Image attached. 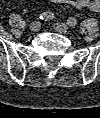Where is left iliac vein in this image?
Instances as JSON below:
<instances>
[{"mask_svg":"<svg viewBox=\"0 0 100 118\" xmlns=\"http://www.w3.org/2000/svg\"><path fill=\"white\" fill-rule=\"evenodd\" d=\"M53 27L57 32H59L61 34H66L69 31L68 26L63 23H55V24H53Z\"/></svg>","mask_w":100,"mask_h":118,"instance_id":"4c4485c4","label":"left iliac vein"}]
</instances>
